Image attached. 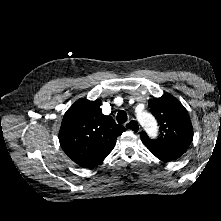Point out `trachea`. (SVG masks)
Listing matches in <instances>:
<instances>
[{"mask_svg":"<svg viewBox=\"0 0 221 221\" xmlns=\"http://www.w3.org/2000/svg\"><path fill=\"white\" fill-rule=\"evenodd\" d=\"M127 121V114L124 110H120L118 113H117V122L119 124H123Z\"/></svg>","mask_w":221,"mask_h":221,"instance_id":"3493384b","label":"trachea"}]
</instances>
